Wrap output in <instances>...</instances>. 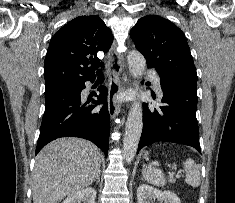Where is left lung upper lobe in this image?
<instances>
[{"label":"left lung upper lobe","instance_id":"5c2ea615","mask_svg":"<svg viewBox=\"0 0 235 203\" xmlns=\"http://www.w3.org/2000/svg\"><path fill=\"white\" fill-rule=\"evenodd\" d=\"M130 36L147 60L165 77L197 84V73L184 33L172 22L156 15L139 19Z\"/></svg>","mask_w":235,"mask_h":203}]
</instances>
